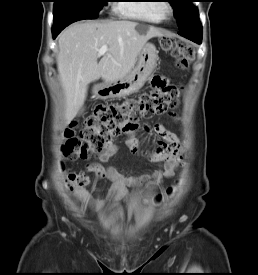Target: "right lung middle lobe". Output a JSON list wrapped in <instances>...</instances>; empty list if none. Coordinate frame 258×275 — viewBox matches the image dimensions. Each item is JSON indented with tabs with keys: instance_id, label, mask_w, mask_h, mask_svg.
<instances>
[{
	"instance_id": "right-lung-middle-lobe-1",
	"label": "right lung middle lobe",
	"mask_w": 258,
	"mask_h": 275,
	"mask_svg": "<svg viewBox=\"0 0 258 275\" xmlns=\"http://www.w3.org/2000/svg\"><path fill=\"white\" fill-rule=\"evenodd\" d=\"M107 0H55L54 19H95Z\"/></svg>"
}]
</instances>
